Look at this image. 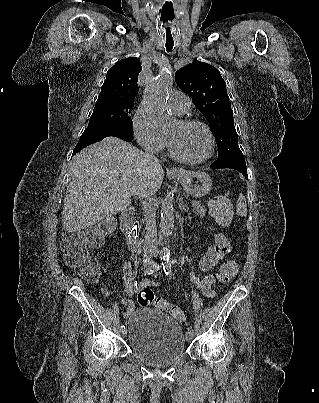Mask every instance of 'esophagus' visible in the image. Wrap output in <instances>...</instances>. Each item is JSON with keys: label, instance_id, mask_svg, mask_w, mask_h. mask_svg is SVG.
<instances>
[{"label": "esophagus", "instance_id": "obj_1", "mask_svg": "<svg viewBox=\"0 0 319 403\" xmlns=\"http://www.w3.org/2000/svg\"><path fill=\"white\" fill-rule=\"evenodd\" d=\"M170 171H171V172H179L180 170H179V168H177V167H172V168L170 169Z\"/></svg>", "mask_w": 319, "mask_h": 403}]
</instances>
